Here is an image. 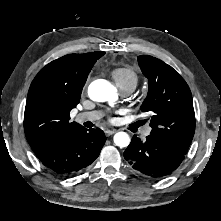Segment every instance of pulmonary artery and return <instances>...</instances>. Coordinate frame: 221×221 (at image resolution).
<instances>
[{"mask_svg":"<svg viewBox=\"0 0 221 221\" xmlns=\"http://www.w3.org/2000/svg\"><path fill=\"white\" fill-rule=\"evenodd\" d=\"M132 91L125 89L121 90L122 95L126 96L129 95ZM102 116V113L100 111H90V112H83L79 113L75 117V121L77 123H85V122H94ZM151 129L146 128L144 131V135L147 136L150 133Z\"/></svg>","mask_w":221,"mask_h":221,"instance_id":"pulmonary-artery-1","label":"pulmonary artery"}]
</instances>
